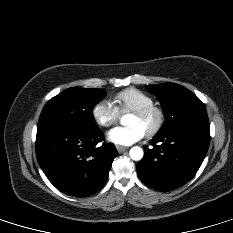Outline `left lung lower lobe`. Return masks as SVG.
Here are the masks:
<instances>
[{
  "instance_id": "left-lung-lower-lobe-1",
  "label": "left lung lower lobe",
  "mask_w": 233,
  "mask_h": 233,
  "mask_svg": "<svg viewBox=\"0 0 233 233\" xmlns=\"http://www.w3.org/2000/svg\"><path fill=\"white\" fill-rule=\"evenodd\" d=\"M210 142L209 124H193L156 135L151 149L137 165L140 179L149 187L167 192L190 181L200 168Z\"/></svg>"
}]
</instances>
